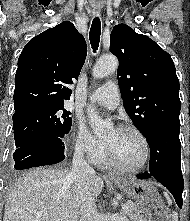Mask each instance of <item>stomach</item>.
I'll return each instance as SVG.
<instances>
[{"mask_svg": "<svg viewBox=\"0 0 190 221\" xmlns=\"http://www.w3.org/2000/svg\"><path fill=\"white\" fill-rule=\"evenodd\" d=\"M113 182L137 205L140 213L145 215L142 221H169L168 212L150 181L114 178Z\"/></svg>", "mask_w": 190, "mask_h": 221, "instance_id": "stomach-1", "label": "stomach"}]
</instances>
